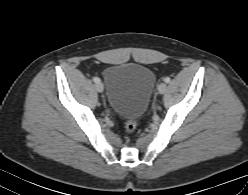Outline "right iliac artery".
I'll use <instances>...</instances> for the list:
<instances>
[{
  "label": "right iliac artery",
  "mask_w": 248,
  "mask_h": 195,
  "mask_svg": "<svg viewBox=\"0 0 248 195\" xmlns=\"http://www.w3.org/2000/svg\"><path fill=\"white\" fill-rule=\"evenodd\" d=\"M93 81H94L95 83H99V82H100V79H99L98 77H94V78H93Z\"/></svg>",
  "instance_id": "1"
}]
</instances>
